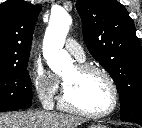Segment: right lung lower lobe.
Returning <instances> with one entry per match:
<instances>
[{
    "instance_id": "obj_1",
    "label": "right lung lower lobe",
    "mask_w": 142,
    "mask_h": 128,
    "mask_svg": "<svg viewBox=\"0 0 142 128\" xmlns=\"http://www.w3.org/2000/svg\"><path fill=\"white\" fill-rule=\"evenodd\" d=\"M18 109L16 108H6V109H0V112H6V111H16Z\"/></svg>"
}]
</instances>
